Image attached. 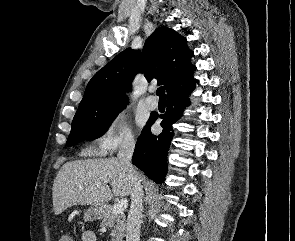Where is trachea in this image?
Instances as JSON below:
<instances>
[{
  "mask_svg": "<svg viewBox=\"0 0 295 241\" xmlns=\"http://www.w3.org/2000/svg\"><path fill=\"white\" fill-rule=\"evenodd\" d=\"M156 94L159 96L160 100H165V90L164 87H159Z\"/></svg>",
  "mask_w": 295,
  "mask_h": 241,
  "instance_id": "1",
  "label": "trachea"
}]
</instances>
